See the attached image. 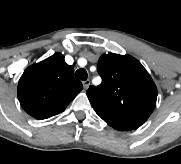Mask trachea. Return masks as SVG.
<instances>
[{
    "instance_id": "trachea-1",
    "label": "trachea",
    "mask_w": 181,
    "mask_h": 164,
    "mask_svg": "<svg viewBox=\"0 0 181 164\" xmlns=\"http://www.w3.org/2000/svg\"><path fill=\"white\" fill-rule=\"evenodd\" d=\"M87 76V71L83 68H80L75 72V77L80 80H86Z\"/></svg>"
}]
</instances>
